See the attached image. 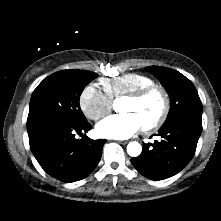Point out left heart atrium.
I'll return each instance as SVG.
<instances>
[{
    "mask_svg": "<svg viewBox=\"0 0 221 221\" xmlns=\"http://www.w3.org/2000/svg\"><path fill=\"white\" fill-rule=\"evenodd\" d=\"M142 126L135 114L123 113L103 119L97 124L96 131L101 137L126 139L138 132Z\"/></svg>",
    "mask_w": 221,
    "mask_h": 221,
    "instance_id": "obj_1",
    "label": "left heart atrium"
}]
</instances>
